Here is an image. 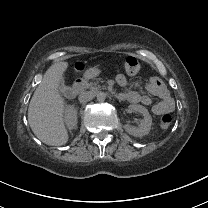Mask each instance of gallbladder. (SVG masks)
<instances>
[{"label":"gallbladder","mask_w":208,"mask_h":208,"mask_svg":"<svg viewBox=\"0 0 208 208\" xmlns=\"http://www.w3.org/2000/svg\"><path fill=\"white\" fill-rule=\"evenodd\" d=\"M58 94L62 98H67L71 94V89L67 85H61L58 89Z\"/></svg>","instance_id":"1"}]
</instances>
